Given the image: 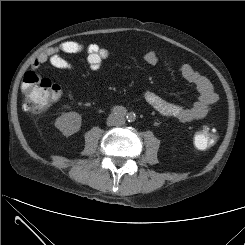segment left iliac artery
<instances>
[{
	"label": "left iliac artery",
	"mask_w": 245,
	"mask_h": 245,
	"mask_svg": "<svg viewBox=\"0 0 245 245\" xmlns=\"http://www.w3.org/2000/svg\"><path fill=\"white\" fill-rule=\"evenodd\" d=\"M127 119H128L129 122L134 121V119H135V114L132 113V112L129 113V114L127 115Z\"/></svg>",
	"instance_id": "1"
}]
</instances>
